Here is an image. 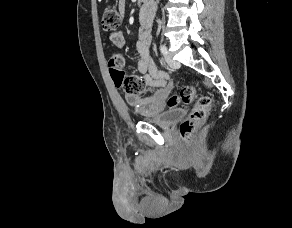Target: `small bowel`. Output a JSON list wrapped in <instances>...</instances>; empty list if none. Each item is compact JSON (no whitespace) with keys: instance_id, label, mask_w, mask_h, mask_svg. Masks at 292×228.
Listing matches in <instances>:
<instances>
[{"instance_id":"1","label":"small bowel","mask_w":292,"mask_h":228,"mask_svg":"<svg viewBox=\"0 0 292 228\" xmlns=\"http://www.w3.org/2000/svg\"><path fill=\"white\" fill-rule=\"evenodd\" d=\"M118 10L124 14L125 0H118ZM153 18V5L143 6L139 12L140 26L136 43L139 55L137 71L143 77V88L138 95L127 98L129 104L135 108L138 114L146 116L157 115L164 109V100L172 89L170 74L157 68L150 52ZM110 39L118 48L125 46V39L121 32L111 33ZM146 90L151 92L145 95Z\"/></svg>"}]
</instances>
